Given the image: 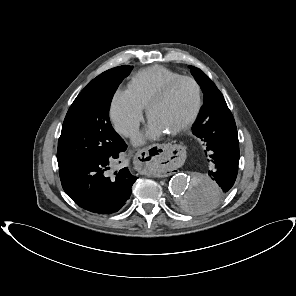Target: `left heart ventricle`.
Returning <instances> with one entry per match:
<instances>
[{
    "label": "left heart ventricle",
    "instance_id": "left-heart-ventricle-1",
    "mask_svg": "<svg viewBox=\"0 0 296 296\" xmlns=\"http://www.w3.org/2000/svg\"><path fill=\"white\" fill-rule=\"evenodd\" d=\"M196 99L195 87L189 82H183L164 102L153 108L150 121L164 132H170L190 117L195 108Z\"/></svg>",
    "mask_w": 296,
    "mask_h": 296
}]
</instances>
